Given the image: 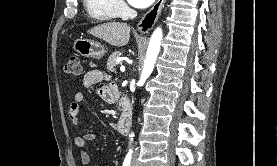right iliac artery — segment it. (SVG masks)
I'll return each mask as SVG.
<instances>
[{"mask_svg":"<svg viewBox=\"0 0 277 166\" xmlns=\"http://www.w3.org/2000/svg\"><path fill=\"white\" fill-rule=\"evenodd\" d=\"M130 162H131V154H128L126 157H125V160L123 162V166H130Z\"/></svg>","mask_w":277,"mask_h":166,"instance_id":"obj_1","label":"right iliac artery"}]
</instances>
